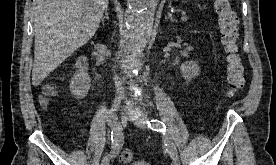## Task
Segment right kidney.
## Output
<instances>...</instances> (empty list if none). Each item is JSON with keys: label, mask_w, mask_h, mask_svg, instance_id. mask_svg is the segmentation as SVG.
<instances>
[{"label": "right kidney", "mask_w": 276, "mask_h": 165, "mask_svg": "<svg viewBox=\"0 0 276 165\" xmlns=\"http://www.w3.org/2000/svg\"><path fill=\"white\" fill-rule=\"evenodd\" d=\"M76 72L70 81V91L76 99L85 98L90 89L91 79L88 74V63L85 56H81L75 63Z\"/></svg>", "instance_id": "ca27d5eb"}]
</instances>
